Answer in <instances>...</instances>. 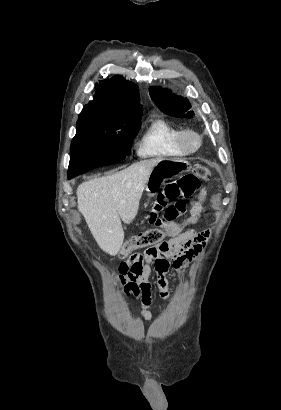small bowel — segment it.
Returning a JSON list of instances; mask_svg holds the SVG:
<instances>
[{
  "instance_id": "obj_1",
  "label": "small bowel",
  "mask_w": 281,
  "mask_h": 410,
  "mask_svg": "<svg viewBox=\"0 0 281 410\" xmlns=\"http://www.w3.org/2000/svg\"><path fill=\"white\" fill-rule=\"evenodd\" d=\"M206 190L202 189L192 205L190 215L181 222L168 224L165 228L169 240L148 248L143 254H133L118 266L117 284L125 297L138 299L145 319L152 318L151 305L152 269L156 273V286L162 298L169 297L167 274L173 268L181 274L188 263L202 251L210 231H196L188 227L196 224L203 212Z\"/></svg>"
}]
</instances>
